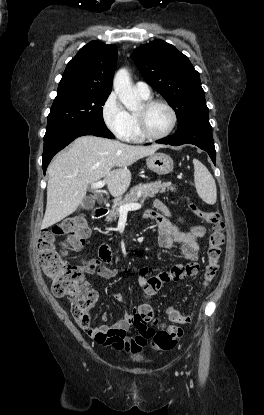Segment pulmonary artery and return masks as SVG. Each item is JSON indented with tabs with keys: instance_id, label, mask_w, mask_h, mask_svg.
Instances as JSON below:
<instances>
[{
	"instance_id": "pulmonary-artery-1",
	"label": "pulmonary artery",
	"mask_w": 264,
	"mask_h": 415,
	"mask_svg": "<svg viewBox=\"0 0 264 415\" xmlns=\"http://www.w3.org/2000/svg\"><path fill=\"white\" fill-rule=\"evenodd\" d=\"M135 90L140 96L143 97H150L151 96V89L148 84L145 82L138 81L134 85Z\"/></svg>"
}]
</instances>
